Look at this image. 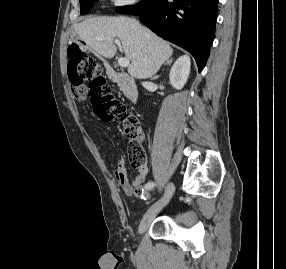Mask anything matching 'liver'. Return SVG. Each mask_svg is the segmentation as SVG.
<instances>
[{
  "instance_id": "1",
  "label": "liver",
  "mask_w": 286,
  "mask_h": 269,
  "mask_svg": "<svg viewBox=\"0 0 286 269\" xmlns=\"http://www.w3.org/2000/svg\"><path fill=\"white\" fill-rule=\"evenodd\" d=\"M74 30L98 57H114L113 41L120 40L130 62L128 73L137 79L155 75L173 53L169 43L129 17H94L75 24Z\"/></svg>"
}]
</instances>
